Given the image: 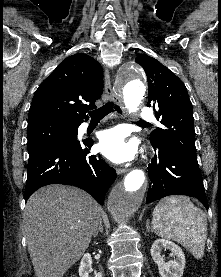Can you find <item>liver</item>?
I'll return each instance as SVG.
<instances>
[{
	"mask_svg": "<svg viewBox=\"0 0 221 277\" xmlns=\"http://www.w3.org/2000/svg\"><path fill=\"white\" fill-rule=\"evenodd\" d=\"M100 211L89 194L75 187L50 185L32 194L23 219L36 277H63L89 247Z\"/></svg>",
	"mask_w": 221,
	"mask_h": 277,
	"instance_id": "6515ba94",
	"label": "liver"
}]
</instances>
